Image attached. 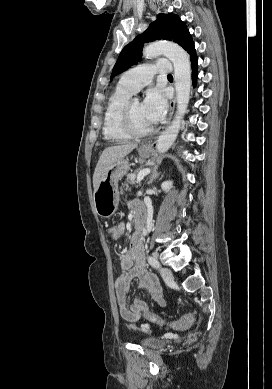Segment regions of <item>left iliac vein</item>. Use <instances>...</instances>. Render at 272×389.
Returning a JSON list of instances; mask_svg holds the SVG:
<instances>
[{
  "instance_id": "obj_1",
  "label": "left iliac vein",
  "mask_w": 272,
  "mask_h": 389,
  "mask_svg": "<svg viewBox=\"0 0 272 389\" xmlns=\"http://www.w3.org/2000/svg\"><path fill=\"white\" fill-rule=\"evenodd\" d=\"M160 273L166 282L173 281V274L170 269L163 267L160 269Z\"/></svg>"
}]
</instances>
